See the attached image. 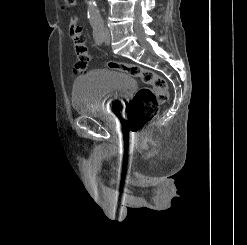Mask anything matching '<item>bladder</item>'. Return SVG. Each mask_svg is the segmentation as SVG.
I'll return each instance as SVG.
<instances>
[{
  "mask_svg": "<svg viewBox=\"0 0 247 245\" xmlns=\"http://www.w3.org/2000/svg\"><path fill=\"white\" fill-rule=\"evenodd\" d=\"M135 87L136 81L126 73L112 69L90 70L74 81L72 106L79 115L102 117L115 113Z\"/></svg>",
  "mask_w": 247,
  "mask_h": 245,
  "instance_id": "bladder-1",
  "label": "bladder"
}]
</instances>
